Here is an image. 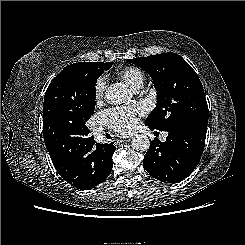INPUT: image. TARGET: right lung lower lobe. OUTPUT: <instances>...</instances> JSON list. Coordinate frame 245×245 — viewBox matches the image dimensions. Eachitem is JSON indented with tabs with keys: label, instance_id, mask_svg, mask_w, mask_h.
<instances>
[{
	"label": "right lung lower lobe",
	"instance_id": "obj_1",
	"mask_svg": "<svg viewBox=\"0 0 245 245\" xmlns=\"http://www.w3.org/2000/svg\"><path fill=\"white\" fill-rule=\"evenodd\" d=\"M45 144L59 175L78 189L94 188L112 171L114 142L99 144L92 136L77 134L48 140Z\"/></svg>",
	"mask_w": 245,
	"mask_h": 245
}]
</instances>
